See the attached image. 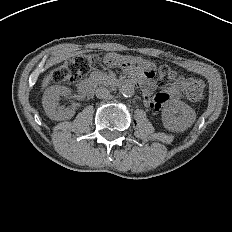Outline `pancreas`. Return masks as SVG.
I'll use <instances>...</instances> for the list:
<instances>
[{
  "instance_id": "cf45deb5",
  "label": "pancreas",
  "mask_w": 232,
  "mask_h": 232,
  "mask_svg": "<svg viewBox=\"0 0 232 232\" xmlns=\"http://www.w3.org/2000/svg\"><path fill=\"white\" fill-rule=\"evenodd\" d=\"M104 78H105V80H108V78H107V76H106V75H104Z\"/></svg>"
}]
</instances>
